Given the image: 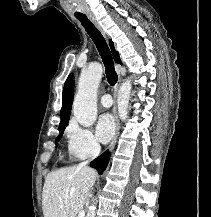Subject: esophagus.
I'll use <instances>...</instances> for the list:
<instances>
[{"label":"esophagus","instance_id":"esophagus-1","mask_svg":"<svg viewBox=\"0 0 211 217\" xmlns=\"http://www.w3.org/2000/svg\"><path fill=\"white\" fill-rule=\"evenodd\" d=\"M88 19L95 25V27L105 36V32L103 31L101 25L99 24L98 20L92 15H88ZM121 84V77H119L118 82L115 87L114 91V98H115V105H114V118H115V123H116V131L115 135L113 137V140L110 144V150H112L117 142L118 136H119V131H120V124H119V119H118V113H117V105H116V100H117V95H118V90Z\"/></svg>","mask_w":211,"mask_h":217}]
</instances>
